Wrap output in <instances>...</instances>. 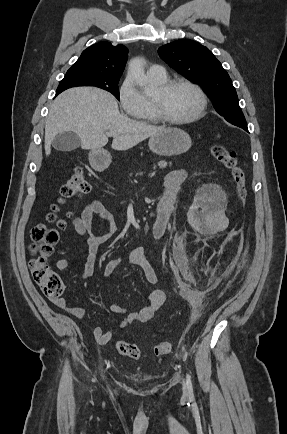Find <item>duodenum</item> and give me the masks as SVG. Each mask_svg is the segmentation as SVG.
<instances>
[{"instance_id":"duodenum-1","label":"duodenum","mask_w":287,"mask_h":434,"mask_svg":"<svg viewBox=\"0 0 287 434\" xmlns=\"http://www.w3.org/2000/svg\"><path fill=\"white\" fill-rule=\"evenodd\" d=\"M94 163H95L97 166L101 167V166L106 165L107 161H106V159H104V158H97V157H95V158H94Z\"/></svg>"}]
</instances>
